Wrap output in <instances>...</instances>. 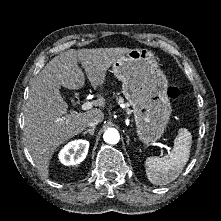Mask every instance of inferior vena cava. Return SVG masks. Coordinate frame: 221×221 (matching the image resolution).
<instances>
[{"label":"inferior vena cava","instance_id":"1","mask_svg":"<svg viewBox=\"0 0 221 221\" xmlns=\"http://www.w3.org/2000/svg\"><path fill=\"white\" fill-rule=\"evenodd\" d=\"M102 121V118L100 116L93 118L87 123L88 127H95L97 124H99Z\"/></svg>","mask_w":221,"mask_h":221}]
</instances>
